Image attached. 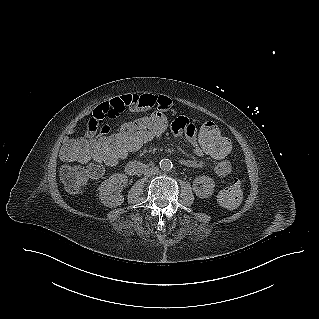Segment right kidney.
Returning a JSON list of instances; mask_svg holds the SVG:
<instances>
[{"label":"right kidney","instance_id":"ca27d5eb","mask_svg":"<svg viewBox=\"0 0 319 319\" xmlns=\"http://www.w3.org/2000/svg\"><path fill=\"white\" fill-rule=\"evenodd\" d=\"M128 182L125 174L116 173L104 180L99 186L101 203L110 208L120 206L124 202L122 191Z\"/></svg>","mask_w":319,"mask_h":319}]
</instances>
